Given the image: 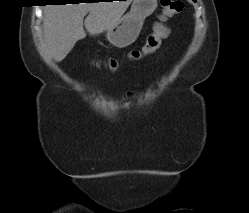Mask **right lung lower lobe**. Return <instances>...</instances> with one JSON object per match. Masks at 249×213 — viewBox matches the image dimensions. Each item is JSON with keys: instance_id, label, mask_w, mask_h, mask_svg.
Returning <instances> with one entry per match:
<instances>
[{"instance_id": "obj_1", "label": "right lung lower lobe", "mask_w": 249, "mask_h": 213, "mask_svg": "<svg viewBox=\"0 0 249 213\" xmlns=\"http://www.w3.org/2000/svg\"><path fill=\"white\" fill-rule=\"evenodd\" d=\"M66 0H50L49 2H56V3H66Z\"/></svg>"}]
</instances>
